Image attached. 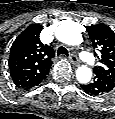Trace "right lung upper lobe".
<instances>
[{
	"instance_id": "right-lung-upper-lobe-1",
	"label": "right lung upper lobe",
	"mask_w": 115,
	"mask_h": 119,
	"mask_svg": "<svg viewBox=\"0 0 115 119\" xmlns=\"http://www.w3.org/2000/svg\"><path fill=\"white\" fill-rule=\"evenodd\" d=\"M40 24L28 26L13 42L10 50V76L18 87L39 85L51 69L54 51L40 41Z\"/></svg>"
}]
</instances>
